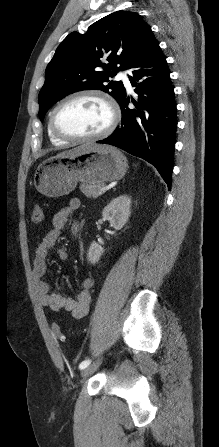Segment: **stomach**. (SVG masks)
I'll return each instance as SVG.
<instances>
[{"instance_id":"1","label":"stomach","mask_w":219,"mask_h":447,"mask_svg":"<svg viewBox=\"0 0 219 447\" xmlns=\"http://www.w3.org/2000/svg\"><path fill=\"white\" fill-rule=\"evenodd\" d=\"M127 167L121 151L94 144L77 155L53 156L43 161L35 171L34 185L45 196L59 197L73 191L79 181L96 184L119 180Z\"/></svg>"}]
</instances>
